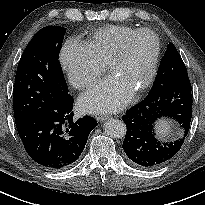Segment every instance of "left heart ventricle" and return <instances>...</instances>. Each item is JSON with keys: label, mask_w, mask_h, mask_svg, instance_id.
I'll list each match as a JSON object with an SVG mask.
<instances>
[{"label": "left heart ventricle", "mask_w": 205, "mask_h": 205, "mask_svg": "<svg viewBox=\"0 0 205 205\" xmlns=\"http://www.w3.org/2000/svg\"><path fill=\"white\" fill-rule=\"evenodd\" d=\"M154 53L155 40L151 35L136 37L130 43L126 57L112 69V75L134 91L145 81Z\"/></svg>", "instance_id": "1"}]
</instances>
